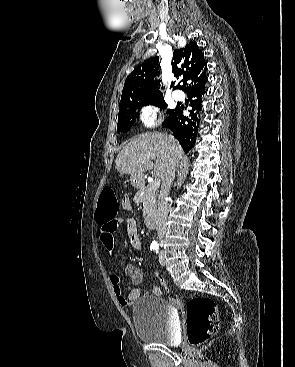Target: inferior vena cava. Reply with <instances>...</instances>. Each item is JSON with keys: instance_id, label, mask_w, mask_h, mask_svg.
Here are the masks:
<instances>
[{"instance_id": "obj_1", "label": "inferior vena cava", "mask_w": 295, "mask_h": 367, "mask_svg": "<svg viewBox=\"0 0 295 367\" xmlns=\"http://www.w3.org/2000/svg\"><path fill=\"white\" fill-rule=\"evenodd\" d=\"M178 164L174 165L173 169L169 172L166 178L162 181L161 191L159 194L158 200V211H157V223L156 230L158 233L159 240H162L166 231H167V216L169 212V203L167 201V197L169 195L170 187L172 181L175 177V167Z\"/></svg>"}]
</instances>
